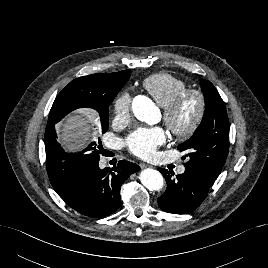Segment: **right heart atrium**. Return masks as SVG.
<instances>
[{
    "label": "right heart atrium",
    "instance_id": "d8ad5b80",
    "mask_svg": "<svg viewBox=\"0 0 268 268\" xmlns=\"http://www.w3.org/2000/svg\"><path fill=\"white\" fill-rule=\"evenodd\" d=\"M114 116L128 121L131 116V94L128 91L121 92L113 103Z\"/></svg>",
    "mask_w": 268,
    "mask_h": 268
}]
</instances>
